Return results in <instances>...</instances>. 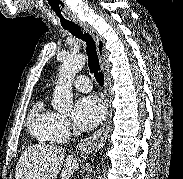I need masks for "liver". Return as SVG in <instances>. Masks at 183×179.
<instances>
[{
  "instance_id": "obj_1",
  "label": "liver",
  "mask_w": 183,
  "mask_h": 179,
  "mask_svg": "<svg viewBox=\"0 0 183 179\" xmlns=\"http://www.w3.org/2000/svg\"><path fill=\"white\" fill-rule=\"evenodd\" d=\"M66 151L54 145H33L26 148L17 163L15 179H56L63 165ZM79 169L77 159L68 156L61 171V179H70Z\"/></svg>"
}]
</instances>
